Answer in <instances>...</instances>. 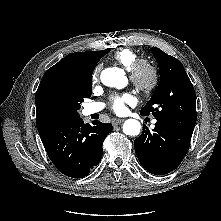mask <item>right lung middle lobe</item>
<instances>
[{
	"mask_svg": "<svg viewBox=\"0 0 221 221\" xmlns=\"http://www.w3.org/2000/svg\"><path fill=\"white\" fill-rule=\"evenodd\" d=\"M92 93V78L75 88H57L46 97V105L54 113L68 115L74 119L79 118L78 110L84 98Z\"/></svg>",
	"mask_w": 221,
	"mask_h": 221,
	"instance_id": "dd1d6c3e",
	"label": "right lung middle lobe"
}]
</instances>
